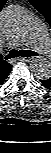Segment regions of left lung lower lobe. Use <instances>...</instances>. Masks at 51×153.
Listing matches in <instances>:
<instances>
[{
  "mask_svg": "<svg viewBox=\"0 0 51 153\" xmlns=\"http://www.w3.org/2000/svg\"><path fill=\"white\" fill-rule=\"evenodd\" d=\"M40 81L46 88L51 90V77L49 79L40 80Z\"/></svg>",
  "mask_w": 51,
  "mask_h": 153,
  "instance_id": "1",
  "label": "left lung lower lobe"
}]
</instances>
